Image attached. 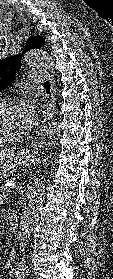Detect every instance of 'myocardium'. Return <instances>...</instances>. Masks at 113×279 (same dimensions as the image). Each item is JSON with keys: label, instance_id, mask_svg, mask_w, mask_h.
Wrapping results in <instances>:
<instances>
[{"label": "myocardium", "instance_id": "1", "mask_svg": "<svg viewBox=\"0 0 113 279\" xmlns=\"http://www.w3.org/2000/svg\"><path fill=\"white\" fill-rule=\"evenodd\" d=\"M21 106L22 102L21 100L18 99H13V98H0V106ZM28 136V132L20 135V136H15V137H9V136H1L0 135V144H11V143H17L21 142Z\"/></svg>", "mask_w": 113, "mask_h": 279}]
</instances>
